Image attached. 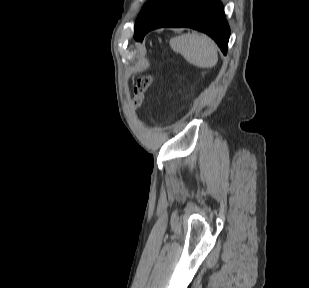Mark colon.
Listing matches in <instances>:
<instances>
[{
	"label": "colon",
	"mask_w": 309,
	"mask_h": 288,
	"mask_svg": "<svg viewBox=\"0 0 309 288\" xmlns=\"http://www.w3.org/2000/svg\"><path fill=\"white\" fill-rule=\"evenodd\" d=\"M152 83V76L150 74H144L137 78V83L134 88V94L132 99V105L134 108H138L143 99L146 91Z\"/></svg>",
	"instance_id": "obj_1"
}]
</instances>
